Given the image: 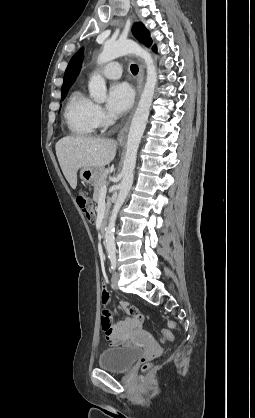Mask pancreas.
Returning a JSON list of instances; mask_svg holds the SVG:
<instances>
[{"instance_id":"pancreas-1","label":"pancreas","mask_w":255,"mask_h":418,"mask_svg":"<svg viewBox=\"0 0 255 418\" xmlns=\"http://www.w3.org/2000/svg\"><path fill=\"white\" fill-rule=\"evenodd\" d=\"M108 174H109V170L108 169L103 170L102 173L100 174V176L98 177V179L96 180V182L94 183L93 199H94L95 202L98 201V198L100 196L101 187L107 184V176H108ZM110 205H111V202L108 199L107 200V203H106V210L109 209Z\"/></svg>"}]
</instances>
